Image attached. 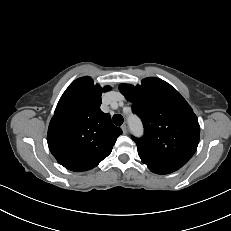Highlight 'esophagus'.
<instances>
[{"instance_id": "obj_1", "label": "esophagus", "mask_w": 231, "mask_h": 231, "mask_svg": "<svg viewBox=\"0 0 231 231\" xmlns=\"http://www.w3.org/2000/svg\"><path fill=\"white\" fill-rule=\"evenodd\" d=\"M121 128H122L123 133L127 134L128 130H127L126 124H123Z\"/></svg>"}]
</instances>
